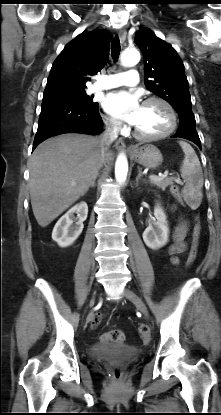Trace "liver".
Instances as JSON below:
<instances>
[{
    "label": "liver",
    "instance_id": "obj_1",
    "mask_svg": "<svg viewBox=\"0 0 221 415\" xmlns=\"http://www.w3.org/2000/svg\"><path fill=\"white\" fill-rule=\"evenodd\" d=\"M100 138L68 133L41 143L30 158L29 188L33 214L41 227L84 196L104 160Z\"/></svg>",
    "mask_w": 221,
    "mask_h": 415
}]
</instances>
